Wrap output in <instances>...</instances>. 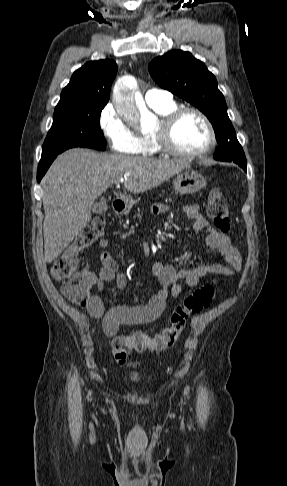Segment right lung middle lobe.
I'll return each instance as SVG.
<instances>
[{
	"instance_id": "obj_1",
	"label": "right lung middle lobe",
	"mask_w": 287,
	"mask_h": 486,
	"mask_svg": "<svg viewBox=\"0 0 287 486\" xmlns=\"http://www.w3.org/2000/svg\"><path fill=\"white\" fill-rule=\"evenodd\" d=\"M107 103L85 102L56 106L53 124L42 147L41 159L73 147L106 149L100 114Z\"/></svg>"
}]
</instances>
